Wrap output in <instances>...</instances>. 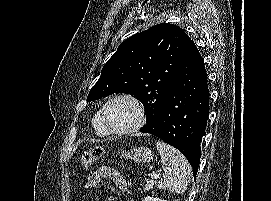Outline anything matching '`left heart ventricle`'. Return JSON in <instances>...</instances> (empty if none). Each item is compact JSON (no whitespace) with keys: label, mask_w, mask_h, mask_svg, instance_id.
I'll return each mask as SVG.
<instances>
[{"label":"left heart ventricle","mask_w":271,"mask_h":201,"mask_svg":"<svg viewBox=\"0 0 271 201\" xmlns=\"http://www.w3.org/2000/svg\"><path fill=\"white\" fill-rule=\"evenodd\" d=\"M110 125L118 130L133 126L138 118L134 105L127 100H117L112 102L106 111Z\"/></svg>","instance_id":"obj_1"}]
</instances>
